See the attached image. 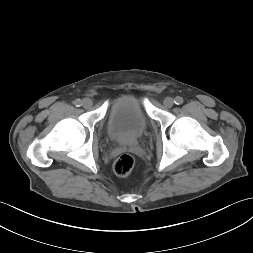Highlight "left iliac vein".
I'll list each match as a JSON object with an SVG mask.
<instances>
[{
	"label": "left iliac vein",
	"mask_w": 253,
	"mask_h": 253,
	"mask_svg": "<svg viewBox=\"0 0 253 253\" xmlns=\"http://www.w3.org/2000/svg\"><path fill=\"white\" fill-rule=\"evenodd\" d=\"M163 104L168 107L171 108L174 105V100L171 97H166L163 101Z\"/></svg>",
	"instance_id": "left-iliac-vein-1"
}]
</instances>
